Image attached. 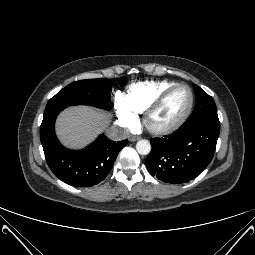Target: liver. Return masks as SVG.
<instances>
[{
	"label": "liver",
	"instance_id": "6515ba94",
	"mask_svg": "<svg viewBox=\"0 0 255 255\" xmlns=\"http://www.w3.org/2000/svg\"><path fill=\"white\" fill-rule=\"evenodd\" d=\"M109 118V115L93 107H69L57 118L56 133L64 146L82 148L106 129Z\"/></svg>",
	"mask_w": 255,
	"mask_h": 255
}]
</instances>
